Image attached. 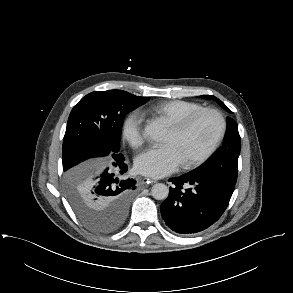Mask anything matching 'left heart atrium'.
I'll use <instances>...</instances> for the list:
<instances>
[{
    "instance_id": "39dd6f15",
    "label": "left heart atrium",
    "mask_w": 293,
    "mask_h": 293,
    "mask_svg": "<svg viewBox=\"0 0 293 293\" xmlns=\"http://www.w3.org/2000/svg\"><path fill=\"white\" fill-rule=\"evenodd\" d=\"M183 159L172 144L150 147L141 152L135 159V170L143 175L160 178L176 171Z\"/></svg>"
}]
</instances>
